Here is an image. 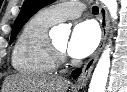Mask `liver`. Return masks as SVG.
Segmentation results:
<instances>
[{
    "label": "liver",
    "mask_w": 127,
    "mask_h": 92,
    "mask_svg": "<svg viewBox=\"0 0 127 92\" xmlns=\"http://www.w3.org/2000/svg\"><path fill=\"white\" fill-rule=\"evenodd\" d=\"M68 87L62 77L11 75L4 81L3 92H67Z\"/></svg>",
    "instance_id": "obj_1"
}]
</instances>
